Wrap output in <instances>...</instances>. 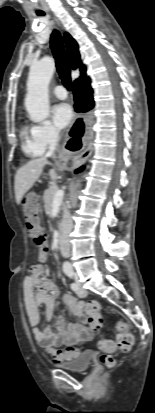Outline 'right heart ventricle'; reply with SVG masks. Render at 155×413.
Returning <instances> with one entry per match:
<instances>
[{"label":"right heart ventricle","mask_w":155,"mask_h":413,"mask_svg":"<svg viewBox=\"0 0 155 413\" xmlns=\"http://www.w3.org/2000/svg\"><path fill=\"white\" fill-rule=\"evenodd\" d=\"M20 138L22 141V151L26 156L36 158L42 154V152L36 147L31 135V130L27 126H23L21 128Z\"/></svg>","instance_id":"obj_1"}]
</instances>
